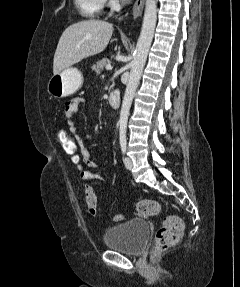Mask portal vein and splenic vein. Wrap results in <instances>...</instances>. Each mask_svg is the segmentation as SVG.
<instances>
[{
    "label": "portal vein and splenic vein",
    "instance_id": "18ae733b",
    "mask_svg": "<svg viewBox=\"0 0 240 287\" xmlns=\"http://www.w3.org/2000/svg\"><path fill=\"white\" fill-rule=\"evenodd\" d=\"M112 66L110 64L106 65V70H111Z\"/></svg>",
    "mask_w": 240,
    "mask_h": 287
}]
</instances>
